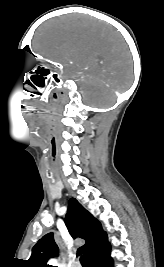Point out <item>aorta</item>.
I'll use <instances>...</instances> for the list:
<instances>
[{
    "instance_id": "762f6f07",
    "label": "aorta",
    "mask_w": 164,
    "mask_h": 267,
    "mask_svg": "<svg viewBox=\"0 0 164 267\" xmlns=\"http://www.w3.org/2000/svg\"><path fill=\"white\" fill-rule=\"evenodd\" d=\"M51 263L56 264V260H51Z\"/></svg>"
}]
</instances>
